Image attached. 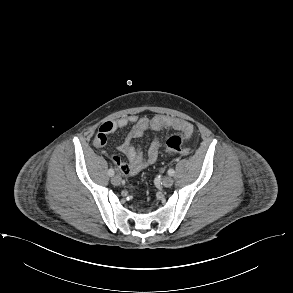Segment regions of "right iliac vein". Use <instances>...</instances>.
Returning <instances> with one entry per match:
<instances>
[{"label":"right iliac vein","instance_id":"obj_1","mask_svg":"<svg viewBox=\"0 0 293 293\" xmlns=\"http://www.w3.org/2000/svg\"><path fill=\"white\" fill-rule=\"evenodd\" d=\"M111 183H112L113 185H115V186L120 185V183H121V178H120V176H119V175H114V176H112V178H111Z\"/></svg>","mask_w":293,"mask_h":293}]
</instances>
